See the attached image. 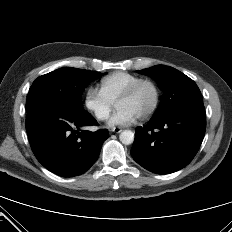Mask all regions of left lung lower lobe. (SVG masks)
<instances>
[{
  "label": "left lung lower lobe",
  "instance_id": "left-lung-lower-lobe-1",
  "mask_svg": "<svg viewBox=\"0 0 232 232\" xmlns=\"http://www.w3.org/2000/svg\"><path fill=\"white\" fill-rule=\"evenodd\" d=\"M205 129V109L200 96L152 117L146 126L137 129L131 155L153 173L178 171L198 152Z\"/></svg>",
  "mask_w": 232,
  "mask_h": 232
}]
</instances>
